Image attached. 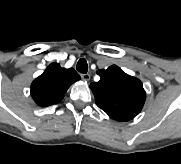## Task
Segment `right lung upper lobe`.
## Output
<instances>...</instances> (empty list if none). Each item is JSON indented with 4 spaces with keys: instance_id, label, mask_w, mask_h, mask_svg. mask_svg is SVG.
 Returning a JSON list of instances; mask_svg holds the SVG:
<instances>
[{
    "instance_id": "obj_1",
    "label": "right lung upper lobe",
    "mask_w": 181,
    "mask_h": 164,
    "mask_svg": "<svg viewBox=\"0 0 181 164\" xmlns=\"http://www.w3.org/2000/svg\"><path fill=\"white\" fill-rule=\"evenodd\" d=\"M80 79L73 68L65 69L52 63L32 82L31 95L36 104L47 107L60 102L70 85Z\"/></svg>"
}]
</instances>
